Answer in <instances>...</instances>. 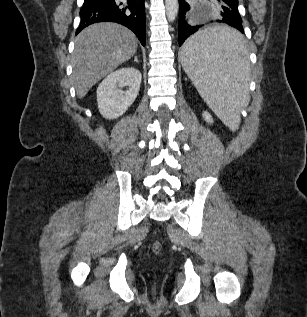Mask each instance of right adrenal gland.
Returning <instances> with one entry per match:
<instances>
[{"instance_id": "obj_1", "label": "right adrenal gland", "mask_w": 307, "mask_h": 317, "mask_svg": "<svg viewBox=\"0 0 307 317\" xmlns=\"http://www.w3.org/2000/svg\"><path fill=\"white\" fill-rule=\"evenodd\" d=\"M134 62L138 63L137 56L134 57Z\"/></svg>"}]
</instances>
